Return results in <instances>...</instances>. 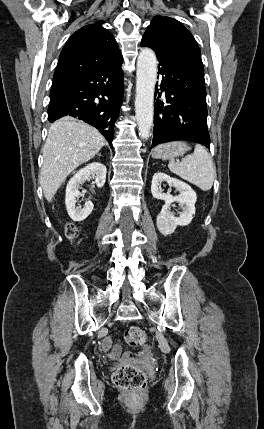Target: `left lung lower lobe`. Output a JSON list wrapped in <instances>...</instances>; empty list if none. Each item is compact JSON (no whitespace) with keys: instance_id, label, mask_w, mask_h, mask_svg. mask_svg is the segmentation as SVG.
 Returning <instances> with one entry per match:
<instances>
[{"instance_id":"obj_1","label":"left lung lower lobe","mask_w":264,"mask_h":429,"mask_svg":"<svg viewBox=\"0 0 264 429\" xmlns=\"http://www.w3.org/2000/svg\"><path fill=\"white\" fill-rule=\"evenodd\" d=\"M140 45L150 47L156 53L160 90L165 91L167 104L163 106L164 102L159 100L162 92H158L156 85L152 147L169 141L188 140L209 148L204 77L178 53L148 36L143 35Z\"/></svg>"}]
</instances>
